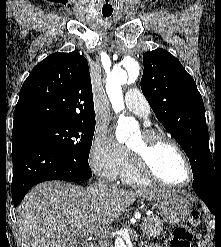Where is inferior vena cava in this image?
Listing matches in <instances>:
<instances>
[{
    "label": "inferior vena cava",
    "mask_w": 221,
    "mask_h": 247,
    "mask_svg": "<svg viewBox=\"0 0 221 247\" xmlns=\"http://www.w3.org/2000/svg\"><path fill=\"white\" fill-rule=\"evenodd\" d=\"M96 188H99L102 193L106 192L107 190L110 189V187L101 181V179L98 180L97 183L94 185ZM101 247H109V242L107 240V237L103 238V241L101 242Z\"/></svg>",
    "instance_id": "inferior-vena-cava-1"
}]
</instances>
